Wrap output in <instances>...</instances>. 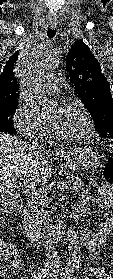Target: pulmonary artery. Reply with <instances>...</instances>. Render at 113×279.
Instances as JSON below:
<instances>
[{
	"instance_id": "pulmonary-artery-1",
	"label": "pulmonary artery",
	"mask_w": 113,
	"mask_h": 279,
	"mask_svg": "<svg viewBox=\"0 0 113 279\" xmlns=\"http://www.w3.org/2000/svg\"><path fill=\"white\" fill-rule=\"evenodd\" d=\"M61 79V75L59 73H51L46 78L45 87L51 93H56L59 91V81Z\"/></svg>"
}]
</instances>
